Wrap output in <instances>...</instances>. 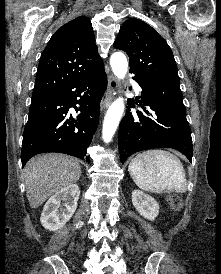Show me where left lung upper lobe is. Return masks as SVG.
<instances>
[{
	"mask_svg": "<svg viewBox=\"0 0 221 274\" xmlns=\"http://www.w3.org/2000/svg\"><path fill=\"white\" fill-rule=\"evenodd\" d=\"M114 47L127 53L130 72L149 78L159 89L182 94L173 53L167 42L147 23L135 18L126 20Z\"/></svg>",
	"mask_w": 221,
	"mask_h": 274,
	"instance_id": "left-lung-upper-lobe-1",
	"label": "left lung upper lobe"
}]
</instances>
